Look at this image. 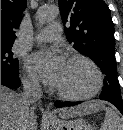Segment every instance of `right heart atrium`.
Returning a JSON list of instances; mask_svg holds the SVG:
<instances>
[{
  "label": "right heart atrium",
  "instance_id": "right-heart-atrium-1",
  "mask_svg": "<svg viewBox=\"0 0 123 130\" xmlns=\"http://www.w3.org/2000/svg\"><path fill=\"white\" fill-rule=\"evenodd\" d=\"M23 83H24L25 87H27L28 89L33 90V91H37L40 88L39 81L29 71H25L24 77H23Z\"/></svg>",
  "mask_w": 123,
  "mask_h": 130
}]
</instances>
